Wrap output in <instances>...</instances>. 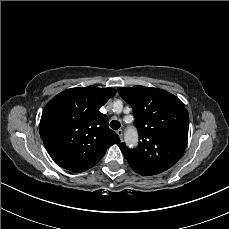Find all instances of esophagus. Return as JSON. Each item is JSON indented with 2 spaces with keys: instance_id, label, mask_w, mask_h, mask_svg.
Masks as SVG:
<instances>
[{
  "instance_id": "1",
  "label": "esophagus",
  "mask_w": 229,
  "mask_h": 229,
  "mask_svg": "<svg viewBox=\"0 0 229 229\" xmlns=\"http://www.w3.org/2000/svg\"><path fill=\"white\" fill-rule=\"evenodd\" d=\"M116 133L118 134V136L120 137V139L122 140L123 139V130L122 129H118L116 131Z\"/></svg>"
}]
</instances>
